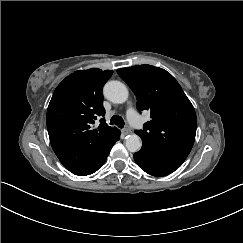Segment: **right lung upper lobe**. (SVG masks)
<instances>
[{"instance_id": "cb5924a9", "label": "right lung upper lobe", "mask_w": 243, "mask_h": 243, "mask_svg": "<svg viewBox=\"0 0 243 243\" xmlns=\"http://www.w3.org/2000/svg\"><path fill=\"white\" fill-rule=\"evenodd\" d=\"M113 74L98 68L79 70L55 89L47 109L51 146L63 166L71 172L90 165L120 135L102 118V88ZM100 119L97 127L95 120Z\"/></svg>"}]
</instances>
